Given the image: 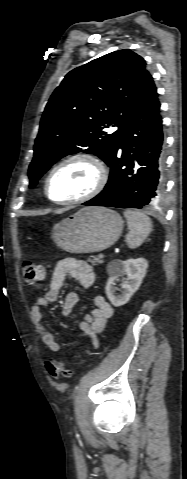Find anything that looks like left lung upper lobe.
I'll use <instances>...</instances> for the list:
<instances>
[{
    "instance_id": "1",
    "label": "left lung upper lobe",
    "mask_w": 187,
    "mask_h": 479,
    "mask_svg": "<svg viewBox=\"0 0 187 479\" xmlns=\"http://www.w3.org/2000/svg\"><path fill=\"white\" fill-rule=\"evenodd\" d=\"M149 75L145 60L118 50L70 71L43 113L29 166L30 188L60 158L83 151L112 161L120 133ZM118 126L109 133L107 128Z\"/></svg>"
}]
</instances>
